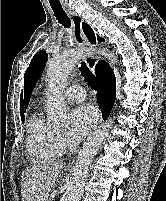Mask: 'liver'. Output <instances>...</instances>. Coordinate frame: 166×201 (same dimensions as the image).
<instances>
[{
  "mask_svg": "<svg viewBox=\"0 0 166 201\" xmlns=\"http://www.w3.org/2000/svg\"><path fill=\"white\" fill-rule=\"evenodd\" d=\"M64 165L61 162H37L22 172V201H48L53 184Z\"/></svg>",
  "mask_w": 166,
  "mask_h": 201,
  "instance_id": "liver-1",
  "label": "liver"
}]
</instances>
